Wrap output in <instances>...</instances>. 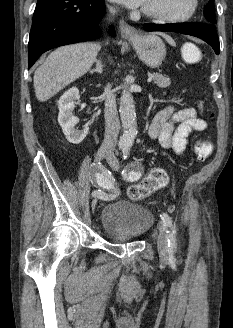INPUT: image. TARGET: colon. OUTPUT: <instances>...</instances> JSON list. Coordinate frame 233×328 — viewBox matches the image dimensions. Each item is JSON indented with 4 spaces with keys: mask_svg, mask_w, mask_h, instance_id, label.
I'll return each mask as SVG.
<instances>
[{
    "mask_svg": "<svg viewBox=\"0 0 233 328\" xmlns=\"http://www.w3.org/2000/svg\"><path fill=\"white\" fill-rule=\"evenodd\" d=\"M202 56L201 50L194 44L183 47V57L187 62H196ZM213 151L212 144L204 139L198 140L194 152L198 159H207ZM168 183V175L162 168L152 169L138 184L128 189V196L133 201L141 200Z\"/></svg>",
    "mask_w": 233,
    "mask_h": 328,
    "instance_id": "obj_1",
    "label": "colon"
}]
</instances>
